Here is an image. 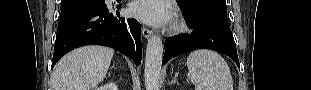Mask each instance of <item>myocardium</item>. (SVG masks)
Segmentation results:
<instances>
[{
  "label": "myocardium",
  "instance_id": "myocardium-1",
  "mask_svg": "<svg viewBox=\"0 0 311 90\" xmlns=\"http://www.w3.org/2000/svg\"><path fill=\"white\" fill-rule=\"evenodd\" d=\"M186 26L183 20L180 18H176L173 25H172V30L174 32H183L185 30Z\"/></svg>",
  "mask_w": 311,
  "mask_h": 90
}]
</instances>
